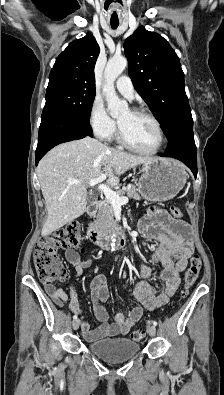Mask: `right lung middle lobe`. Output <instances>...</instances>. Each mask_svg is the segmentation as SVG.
I'll return each instance as SVG.
<instances>
[{"label":"right lung middle lobe","instance_id":"right-lung-middle-lobe-1","mask_svg":"<svg viewBox=\"0 0 224 395\" xmlns=\"http://www.w3.org/2000/svg\"><path fill=\"white\" fill-rule=\"evenodd\" d=\"M95 87L63 78L49 79L45 108H53L89 123Z\"/></svg>","mask_w":224,"mask_h":395}]
</instances>
